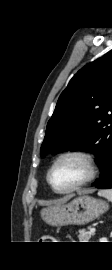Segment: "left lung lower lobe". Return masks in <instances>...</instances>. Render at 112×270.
<instances>
[{"label": "left lung lower lobe", "mask_w": 112, "mask_h": 270, "mask_svg": "<svg viewBox=\"0 0 112 270\" xmlns=\"http://www.w3.org/2000/svg\"><path fill=\"white\" fill-rule=\"evenodd\" d=\"M93 185L102 189L112 188V152L101 169L100 180Z\"/></svg>", "instance_id": "obj_1"}]
</instances>
